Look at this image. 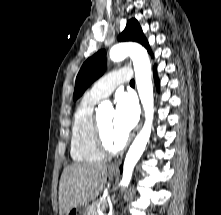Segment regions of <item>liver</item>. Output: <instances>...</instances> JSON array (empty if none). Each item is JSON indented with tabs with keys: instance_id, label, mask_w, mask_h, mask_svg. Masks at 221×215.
<instances>
[{
	"instance_id": "6515ba94",
	"label": "liver",
	"mask_w": 221,
	"mask_h": 215,
	"mask_svg": "<svg viewBox=\"0 0 221 215\" xmlns=\"http://www.w3.org/2000/svg\"><path fill=\"white\" fill-rule=\"evenodd\" d=\"M107 180V164L77 163L64 168L59 185V214L95 199Z\"/></svg>"
}]
</instances>
